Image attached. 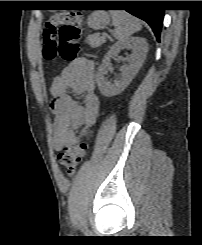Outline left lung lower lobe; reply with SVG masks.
<instances>
[{
  "label": "left lung lower lobe",
  "instance_id": "0a47b994",
  "mask_svg": "<svg viewBox=\"0 0 202 245\" xmlns=\"http://www.w3.org/2000/svg\"><path fill=\"white\" fill-rule=\"evenodd\" d=\"M103 5L126 7L130 14L144 20L152 28L157 40L160 38L162 29L164 10L149 8L153 1H103Z\"/></svg>",
  "mask_w": 202,
  "mask_h": 245
}]
</instances>
